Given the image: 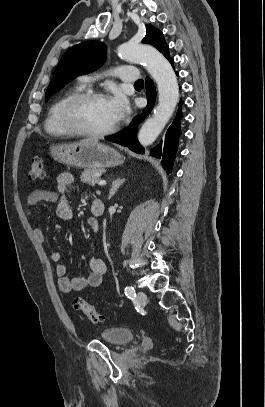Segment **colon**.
I'll return each mask as SVG.
<instances>
[{"label":"colon","mask_w":265,"mask_h":407,"mask_svg":"<svg viewBox=\"0 0 265 407\" xmlns=\"http://www.w3.org/2000/svg\"><path fill=\"white\" fill-rule=\"evenodd\" d=\"M44 165L40 157L32 158L29 167V178L31 180L41 179L44 176ZM73 307L81 311L91 322L100 323L104 321V316L84 298L78 297L73 301Z\"/></svg>","instance_id":"colon-1"}]
</instances>
